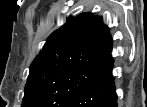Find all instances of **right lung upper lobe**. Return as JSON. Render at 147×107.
Returning <instances> with one entry per match:
<instances>
[{"mask_svg":"<svg viewBox=\"0 0 147 107\" xmlns=\"http://www.w3.org/2000/svg\"><path fill=\"white\" fill-rule=\"evenodd\" d=\"M112 38L102 19L91 13L67 19L47 39L30 66V76L78 68L101 69L112 60Z\"/></svg>","mask_w":147,"mask_h":107,"instance_id":"cb5924a9","label":"right lung upper lobe"}]
</instances>
